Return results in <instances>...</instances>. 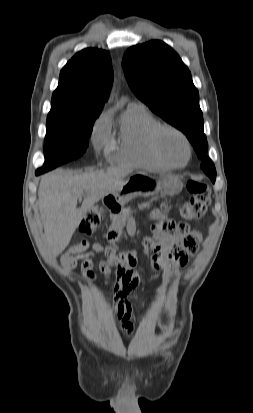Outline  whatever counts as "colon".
Returning <instances> with one entry per match:
<instances>
[{
	"label": "colon",
	"instance_id": "colon-1",
	"mask_svg": "<svg viewBox=\"0 0 253 413\" xmlns=\"http://www.w3.org/2000/svg\"><path fill=\"white\" fill-rule=\"evenodd\" d=\"M190 198L180 207V214L186 220L201 219L210 204L211 193L208 185L203 181L191 180L187 184ZM103 211L98 207L88 209L79 225V230L91 234L99 225Z\"/></svg>",
	"mask_w": 253,
	"mask_h": 413
}]
</instances>
